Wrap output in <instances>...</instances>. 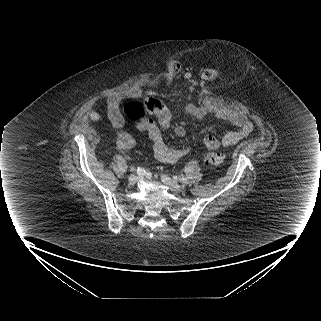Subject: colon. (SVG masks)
<instances>
[{
	"instance_id": "colon-1",
	"label": "colon",
	"mask_w": 321,
	"mask_h": 321,
	"mask_svg": "<svg viewBox=\"0 0 321 321\" xmlns=\"http://www.w3.org/2000/svg\"><path fill=\"white\" fill-rule=\"evenodd\" d=\"M180 65L176 59H170L166 63L167 74L164 75L163 80L166 83L171 82L172 77L179 71ZM225 68L221 65L211 69L204 68L198 74V81L202 85H209L213 79L223 75ZM123 113L126 118L131 121L144 123L146 120V111L142 103L129 102L123 108ZM91 118L97 120L99 118V111L97 109L91 112ZM204 161L209 165H221L225 161V156L219 152H209L204 155Z\"/></svg>"
}]
</instances>
